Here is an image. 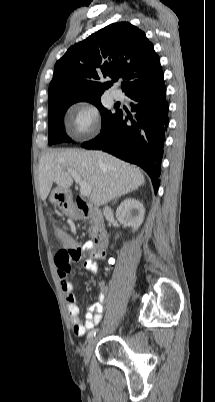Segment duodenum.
I'll list each match as a JSON object with an SVG mask.
<instances>
[{
    "label": "duodenum",
    "mask_w": 215,
    "mask_h": 402,
    "mask_svg": "<svg viewBox=\"0 0 215 402\" xmlns=\"http://www.w3.org/2000/svg\"><path fill=\"white\" fill-rule=\"evenodd\" d=\"M70 214L75 219H92L97 225L98 229L94 237V242L99 248H104L109 243V235L102 228V215L94 207L89 205L82 198H76L74 204L70 208Z\"/></svg>",
    "instance_id": "obj_1"
}]
</instances>
